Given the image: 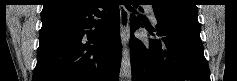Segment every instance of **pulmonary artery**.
<instances>
[{
	"instance_id": "obj_1",
	"label": "pulmonary artery",
	"mask_w": 237,
	"mask_h": 81,
	"mask_svg": "<svg viewBox=\"0 0 237 81\" xmlns=\"http://www.w3.org/2000/svg\"><path fill=\"white\" fill-rule=\"evenodd\" d=\"M147 9H148V12H149V14H150L151 19H152L153 21H155V16H154L152 7H151V6H148Z\"/></svg>"
}]
</instances>
